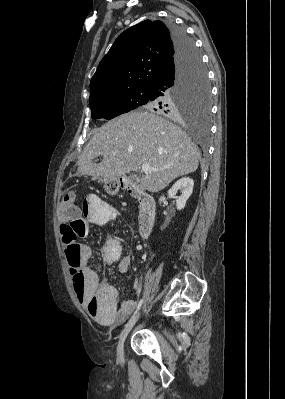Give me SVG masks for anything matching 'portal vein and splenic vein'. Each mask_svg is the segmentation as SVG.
I'll use <instances>...</instances> for the list:
<instances>
[{
	"label": "portal vein and splenic vein",
	"mask_w": 285,
	"mask_h": 399,
	"mask_svg": "<svg viewBox=\"0 0 285 399\" xmlns=\"http://www.w3.org/2000/svg\"><path fill=\"white\" fill-rule=\"evenodd\" d=\"M141 169H142L143 172H148V171H159L158 168H152L149 164H143L142 167H141ZM163 169H165V168H162V169H160V170H163Z\"/></svg>",
	"instance_id": "18ae733b"
}]
</instances>
